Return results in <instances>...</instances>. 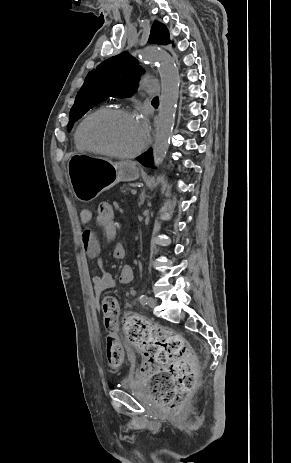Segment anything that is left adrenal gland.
Listing matches in <instances>:
<instances>
[{"instance_id": "1", "label": "left adrenal gland", "mask_w": 291, "mask_h": 463, "mask_svg": "<svg viewBox=\"0 0 291 463\" xmlns=\"http://www.w3.org/2000/svg\"><path fill=\"white\" fill-rule=\"evenodd\" d=\"M146 195L145 192H142L140 195V205H142L145 201Z\"/></svg>"}]
</instances>
